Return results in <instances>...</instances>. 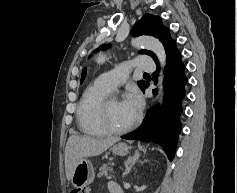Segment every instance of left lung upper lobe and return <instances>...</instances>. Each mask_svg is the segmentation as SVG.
Returning a JSON list of instances; mask_svg holds the SVG:
<instances>
[{"instance_id": "5c2ea615", "label": "left lung upper lobe", "mask_w": 237, "mask_h": 193, "mask_svg": "<svg viewBox=\"0 0 237 193\" xmlns=\"http://www.w3.org/2000/svg\"><path fill=\"white\" fill-rule=\"evenodd\" d=\"M131 33L133 36L139 35H152L160 39L163 43L165 50L169 48V46L174 42L169 34V29L164 27L161 18L159 16H154L150 14H145L132 28ZM108 45L100 47L105 49L108 48ZM141 54H147L152 57L155 62H157V58L152 51L142 50L140 51ZM86 76V68L82 71L81 82L84 80ZM146 84L145 81H139L138 85L142 89Z\"/></svg>"}]
</instances>
